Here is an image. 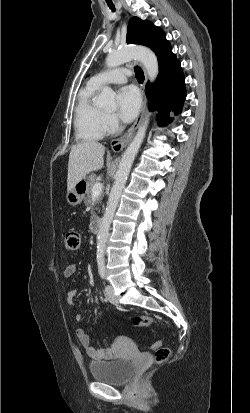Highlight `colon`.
<instances>
[{
    "mask_svg": "<svg viewBox=\"0 0 250 413\" xmlns=\"http://www.w3.org/2000/svg\"><path fill=\"white\" fill-rule=\"evenodd\" d=\"M81 245V238L78 232L69 231L64 238V247L69 252L77 251ZM133 325L136 327H146L155 322V318L152 316H135L132 319ZM150 349L155 350V361L157 363H163L169 359L171 355L170 348L163 346L162 341H156Z\"/></svg>",
    "mask_w": 250,
    "mask_h": 413,
    "instance_id": "1",
    "label": "colon"
}]
</instances>
